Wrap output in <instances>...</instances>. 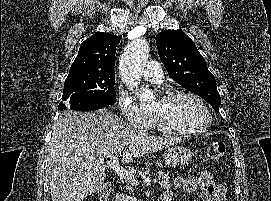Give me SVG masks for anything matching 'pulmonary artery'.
<instances>
[{
  "instance_id": "pulmonary-artery-1",
  "label": "pulmonary artery",
  "mask_w": 271,
  "mask_h": 201,
  "mask_svg": "<svg viewBox=\"0 0 271 201\" xmlns=\"http://www.w3.org/2000/svg\"><path fill=\"white\" fill-rule=\"evenodd\" d=\"M142 75L145 80L152 83H161L163 80L162 68L156 61H149Z\"/></svg>"
}]
</instances>
